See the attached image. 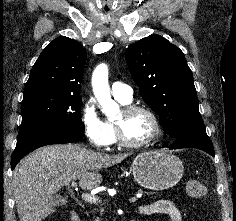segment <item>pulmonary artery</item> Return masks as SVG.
<instances>
[{
    "label": "pulmonary artery",
    "mask_w": 236,
    "mask_h": 221,
    "mask_svg": "<svg viewBox=\"0 0 236 221\" xmlns=\"http://www.w3.org/2000/svg\"><path fill=\"white\" fill-rule=\"evenodd\" d=\"M112 95L117 100L129 103L133 97V89L129 85L117 81L112 85Z\"/></svg>",
    "instance_id": "pulmonary-artery-1"
}]
</instances>
